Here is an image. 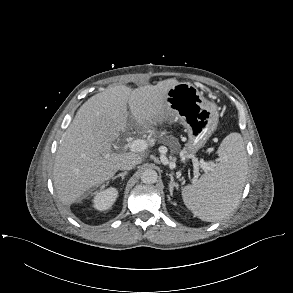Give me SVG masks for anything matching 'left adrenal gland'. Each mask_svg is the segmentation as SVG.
<instances>
[{"mask_svg": "<svg viewBox=\"0 0 293 293\" xmlns=\"http://www.w3.org/2000/svg\"><path fill=\"white\" fill-rule=\"evenodd\" d=\"M169 176H170V179H171V181L169 183V191H170V195L172 196L174 188L176 190H178V184L174 182V177H173L172 174H169Z\"/></svg>", "mask_w": 293, "mask_h": 293, "instance_id": "left-adrenal-gland-1", "label": "left adrenal gland"}]
</instances>
